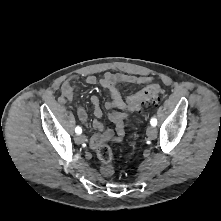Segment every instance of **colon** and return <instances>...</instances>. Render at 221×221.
Masks as SVG:
<instances>
[{"instance_id": "1", "label": "colon", "mask_w": 221, "mask_h": 221, "mask_svg": "<svg viewBox=\"0 0 221 221\" xmlns=\"http://www.w3.org/2000/svg\"><path fill=\"white\" fill-rule=\"evenodd\" d=\"M159 93L160 86L157 83H152L128 98L127 109L132 112H138L143 105L155 102ZM97 157L102 163L101 174L105 177L112 176L114 174V166L112 164L113 153L110 147L101 145L97 149Z\"/></svg>"}]
</instances>
